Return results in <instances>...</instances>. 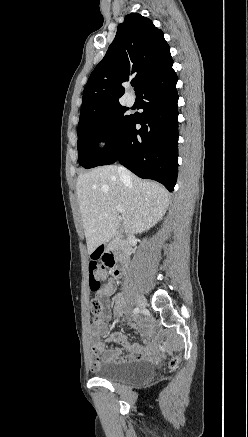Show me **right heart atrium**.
Masks as SVG:
<instances>
[{"label": "right heart atrium", "mask_w": 248, "mask_h": 437, "mask_svg": "<svg viewBox=\"0 0 248 437\" xmlns=\"http://www.w3.org/2000/svg\"><path fill=\"white\" fill-rule=\"evenodd\" d=\"M111 128L108 125H104L98 132L96 142L98 145H106L110 141Z\"/></svg>", "instance_id": "1"}]
</instances>
